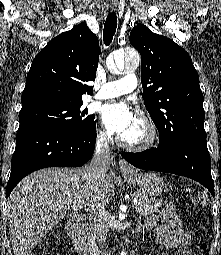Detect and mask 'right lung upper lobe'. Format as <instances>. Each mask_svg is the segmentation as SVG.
<instances>
[{"mask_svg": "<svg viewBox=\"0 0 221 255\" xmlns=\"http://www.w3.org/2000/svg\"><path fill=\"white\" fill-rule=\"evenodd\" d=\"M99 42L85 23L53 38L34 58L22 93V109L48 103L82 102L92 95Z\"/></svg>", "mask_w": 221, "mask_h": 255, "instance_id": "obj_1", "label": "right lung upper lobe"}]
</instances>
